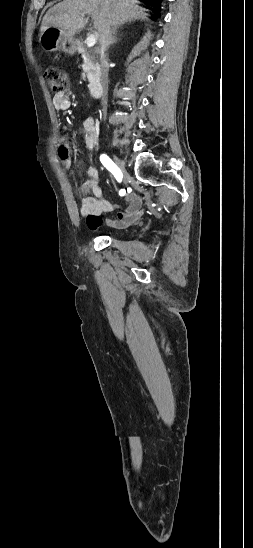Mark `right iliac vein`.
<instances>
[{"mask_svg": "<svg viewBox=\"0 0 253 548\" xmlns=\"http://www.w3.org/2000/svg\"><path fill=\"white\" fill-rule=\"evenodd\" d=\"M113 159H114V162L116 163L117 167L120 169V171L122 173L123 183L126 184L127 181H128L129 175H128L126 169H125L124 164L122 163V161L116 155H113Z\"/></svg>", "mask_w": 253, "mask_h": 548, "instance_id": "1", "label": "right iliac vein"}]
</instances>
